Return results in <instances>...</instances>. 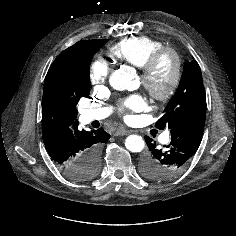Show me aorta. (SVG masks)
I'll return each instance as SVG.
<instances>
[{
	"label": "aorta",
	"instance_id": "obj_1",
	"mask_svg": "<svg viewBox=\"0 0 236 236\" xmlns=\"http://www.w3.org/2000/svg\"><path fill=\"white\" fill-rule=\"evenodd\" d=\"M135 77V70L124 66L111 74L109 83L115 90H133L136 87ZM125 146L129 151L139 153L144 149L145 142L141 136L129 135L125 140Z\"/></svg>",
	"mask_w": 236,
	"mask_h": 236
}]
</instances>
